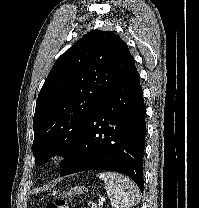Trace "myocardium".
<instances>
[{
    "mask_svg": "<svg viewBox=\"0 0 199 208\" xmlns=\"http://www.w3.org/2000/svg\"><path fill=\"white\" fill-rule=\"evenodd\" d=\"M65 158H66V155L62 151H58V152L54 153L51 157L52 161H54L56 163L64 161Z\"/></svg>",
    "mask_w": 199,
    "mask_h": 208,
    "instance_id": "f54148a6",
    "label": "myocardium"
}]
</instances>
